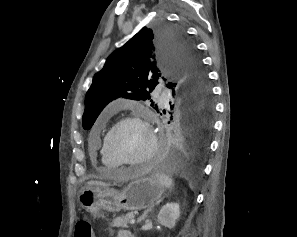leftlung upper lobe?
Returning a JSON list of instances; mask_svg holds the SVG:
<instances>
[{
    "label": "left lung upper lobe",
    "mask_w": 297,
    "mask_h": 237,
    "mask_svg": "<svg viewBox=\"0 0 297 237\" xmlns=\"http://www.w3.org/2000/svg\"><path fill=\"white\" fill-rule=\"evenodd\" d=\"M158 80L173 90L171 99L177 104L189 102L200 107L211 101L201 61L184 33L165 24L143 27L95 74L86 93L84 129H90L102 109L118 97L149 100ZM150 102L159 112L157 104Z\"/></svg>",
    "instance_id": "left-lung-upper-lobe-1"
}]
</instances>
